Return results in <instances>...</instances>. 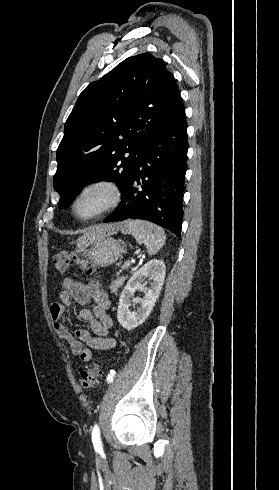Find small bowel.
<instances>
[{
	"label": "small bowel",
	"mask_w": 279,
	"mask_h": 490,
	"mask_svg": "<svg viewBox=\"0 0 279 490\" xmlns=\"http://www.w3.org/2000/svg\"><path fill=\"white\" fill-rule=\"evenodd\" d=\"M73 301L80 305L93 302L92 309L82 308L79 312L81 320L88 322L89 329L78 328L74 333L64 324L66 310ZM111 300L94 281L82 283L71 278L62 281L59 301L50 305V315L57 336L65 342L78 360L88 362L92 359V350L107 351L115 346L110 336L113 322L108 315Z\"/></svg>",
	"instance_id": "1"
}]
</instances>
